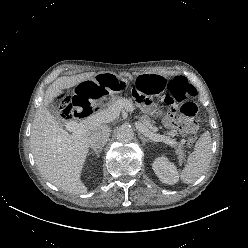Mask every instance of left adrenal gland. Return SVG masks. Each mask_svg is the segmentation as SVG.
<instances>
[{
    "mask_svg": "<svg viewBox=\"0 0 248 248\" xmlns=\"http://www.w3.org/2000/svg\"><path fill=\"white\" fill-rule=\"evenodd\" d=\"M138 135H139V138L142 140L143 145H145L146 143L151 142L149 139L145 138L141 134H138Z\"/></svg>",
    "mask_w": 248,
    "mask_h": 248,
    "instance_id": "1",
    "label": "left adrenal gland"
}]
</instances>
